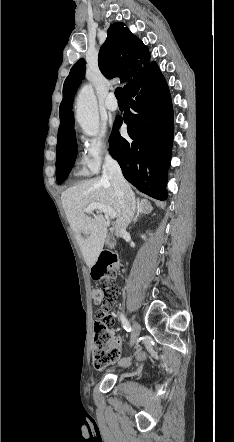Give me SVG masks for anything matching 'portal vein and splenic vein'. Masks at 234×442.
I'll use <instances>...</instances> for the list:
<instances>
[{
	"label": "portal vein and splenic vein",
	"instance_id": "obj_1",
	"mask_svg": "<svg viewBox=\"0 0 234 442\" xmlns=\"http://www.w3.org/2000/svg\"><path fill=\"white\" fill-rule=\"evenodd\" d=\"M98 209L101 212H103L105 214V216H109L111 218H115L116 217V213L115 211L109 207L106 206L105 204L99 203V202H93L91 203L86 209L85 212L87 214H90L93 212V210Z\"/></svg>",
	"mask_w": 234,
	"mask_h": 442
}]
</instances>
